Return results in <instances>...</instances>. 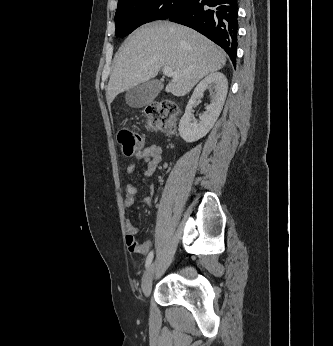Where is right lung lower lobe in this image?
<instances>
[{"instance_id":"98d812e1","label":"right lung lower lobe","mask_w":333,"mask_h":346,"mask_svg":"<svg viewBox=\"0 0 333 346\" xmlns=\"http://www.w3.org/2000/svg\"><path fill=\"white\" fill-rule=\"evenodd\" d=\"M168 20L195 29L221 46L235 66L238 32L237 0H185Z\"/></svg>"}]
</instances>
